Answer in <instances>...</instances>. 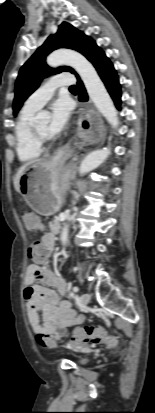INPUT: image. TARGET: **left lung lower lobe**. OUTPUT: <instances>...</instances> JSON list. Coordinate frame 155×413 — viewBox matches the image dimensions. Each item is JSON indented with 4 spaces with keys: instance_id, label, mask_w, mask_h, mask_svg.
<instances>
[{
    "instance_id": "obj_1",
    "label": "left lung lower lobe",
    "mask_w": 155,
    "mask_h": 413,
    "mask_svg": "<svg viewBox=\"0 0 155 413\" xmlns=\"http://www.w3.org/2000/svg\"><path fill=\"white\" fill-rule=\"evenodd\" d=\"M92 64L96 68L99 76L103 80L109 94L111 95L116 107L120 109L121 104V90L119 79L113 64L106 57L105 53L101 50L96 57L92 60ZM78 87H79V100L85 102L88 100L86 90L83 86L82 81L78 77Z\"/></svg>"
}]
</instances>
